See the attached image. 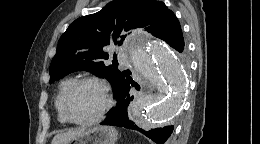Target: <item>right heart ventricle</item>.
Here are the masks:
<instances>
[{
    "instance_id": "1",
    "label": "right heart ventricle",
    "mask_w": 260,
    "mask_h": 144,
    "mask_svg": "<svg viewBox=\"0 0 260 144\" xmlns=\"http://www.w3.org/2000/svg\"><path fill=\"white\" fill-rule=\"evenodd\" d=\"M74 81L75 80L73 78H66V79L62 80L59 84L58 91H57V94L54 99V106H55V110H56V114H57V120L61 124L68 123V121L65 118L63 111H62V100H63V97H64L66 91L68 90V88L71 86V84Z\"/></svg>"
}]
</instances>
